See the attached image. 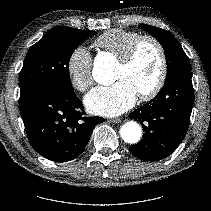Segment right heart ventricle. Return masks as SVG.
I'll use <instances>...</instances> for the list:
<instances>
[{"label":"right heart ventricle","instance_id":"1","mask_svg":"<svg viewBox=\"0 0 211 211\" xmlns=\"http://www.w3.org/2000/svg\"><path fill=\"white\" fill-rule=\"evenodd\" d=\"M140 36L139 33L134 31L112 29L97 37L94 41V45L119 59Z\"/></svg>","mask_w":211,"mask_h":211}]
</instances>
